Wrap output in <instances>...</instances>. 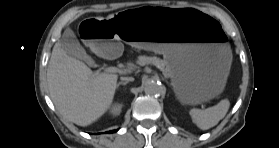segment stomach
Listing matches in <instances>:
<instances>
[{
    "label": "stomach",
    "mask_w": 279,
    "mask_h": 148,
    "mask_svg": "<svg viewBox=\"0 0 279 148\" xmlns=\"http://www.w3.org/2000/svg\"><path fill=\"white\" fill-rule=\"evenodd\" d=\"M80 44L105 58L119 57L123 44L162 53L180 102L196 105L220 94L228 77L232 45L227 30L195 9L159 7L127 10L107 20L84 18Z\"/></svg>",
    "instance_id": "1"
}]
</instances>
